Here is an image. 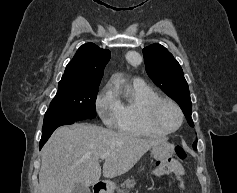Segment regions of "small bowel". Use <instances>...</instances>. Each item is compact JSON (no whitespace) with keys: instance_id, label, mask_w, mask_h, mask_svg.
Instances as JSON below:
<instances>
[{"instance_id":"c3829d8e","label":"small bowel","mask_w":237,"mask_h":193,"mask_svg":"<svg viewBox=\"0 0 237 193\" xmlns=\"http://www.w3.org/2000/svg\"><path fill=\"white\" fill-rule=\"evenodd\" d=\"M172 173L175 180L179 183V187L184 188L185 173L182 166L177 161H173L172 163Z\"/></svg>"}]
</instances>
